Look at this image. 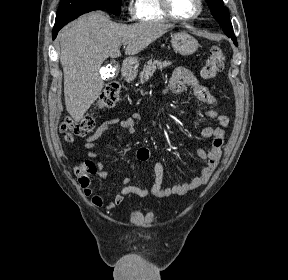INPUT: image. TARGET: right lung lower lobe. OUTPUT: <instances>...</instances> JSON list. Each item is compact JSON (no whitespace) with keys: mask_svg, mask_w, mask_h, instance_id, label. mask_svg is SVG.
<instances>
[{"mask_svg":"<svg viewBox=\"0 0 288 280\" xmlns=\"http://www.w3.org/2000/svg\"><path fill=\"white\" fill-rule=\"evenodd\" d=\"M102 9L100 7H87V8H83L80 10H74L71 11L59 18H56V22H55V26L53 28V32H52V37L53 39L56 38L58 31L64 26L66 25L68 22L74 20L75 18H77L78 16L84 14V13H88L90 11L93 10H99Z\"/></svg>","mask_w":288,"mask_h":280,"instance_id":"1","label":"right lung lower lobe"}]
</instances>
